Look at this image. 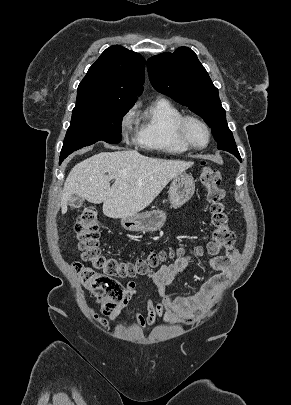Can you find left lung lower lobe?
Segmentation results:
<instances>
[{"label": "left lung lower lobe", "mask_w": 291, "mask_h": 405, "mask_svg": "<svg viewBox=\"0 0 291 405\" xmlns=\"http://www.w3.org/2000/svg\"><path fill=\"white\" fill-rule=\"evenodd\" d=\"M239 160H241L240 156L237 157Z\"/></svg>", "instance_id": "1"}]
</instances>
